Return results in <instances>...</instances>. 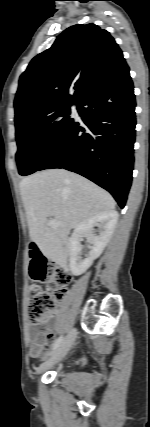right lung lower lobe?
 <instances>
[{
	"label": "right lung lower lobe",
	"instance_id": "right-lung-lower-lobe-1",
	"mask_svg": "<svg viewBox=\"0 0 150 427\" xmlns=\"http://www.w3.org/2000/svg\"><path fill=\"white\" fill-rule=\"evenodd\" d=\"M77 105L82 122L72 121L36 171L76 172L109 191L123 208L132 182L136 125L129 67L96 86Z\"/></svg>",
	"mask_w": 150,
	"mask_h": 427
}]
</instances>
